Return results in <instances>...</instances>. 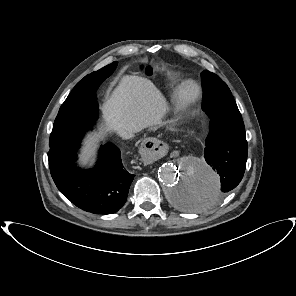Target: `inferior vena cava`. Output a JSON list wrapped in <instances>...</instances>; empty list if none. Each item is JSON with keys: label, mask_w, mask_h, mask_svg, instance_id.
<instances>
[{"label": "inferior vena cava", "mask_w": 296, "mask_h": 296, "mask_svg": "<svg viewBox=\"0 0 296 296\" xmlns=\"http://www.w3.org/2000/svg\"><path fill=\"white\" fill-rule=\"evenodd\" d=\"M135 132H138V130L131 127L118 130L119 136L122 137L123 139H129L134 137Z\"/></svg>", "instance_id": "inferior-vena-cava-1"}]
</instances>
